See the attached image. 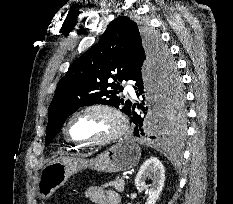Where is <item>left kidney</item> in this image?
<instances>
[{
  "instance_id": "1",
  "label": "left kidney",
  "mask_w": 233,
  "mask_h": 204,
  "mask_svg": "<svg viewBox=\"0 0 233 204\" xmlns=\"http://www.w3.org/2000/svg\"><path fill=\"white\" fill-rule=\"evenodd\" d=\"M147 178L152 181L149 185H146ZM164 182V166L156 157H150L141 166L135 179V186L137 189L143 188L147 191L148 198L145 204H155L161 195Z\"/></svg>"
}]
</instances>
